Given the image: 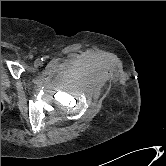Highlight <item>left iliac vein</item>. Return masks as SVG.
<instances>
[{"instance_id": "left-iliac-vein-1", "label": "left iliac vein", "mask_w": 166, "mask_h": 166, "mask_svg": "<svg viewBox=\"0 0 166 166\" xmlns=\"http://www.w3.org/2000/svg\"><path fill=\"white\" fill-rule=\"evenodd\" d=\"M41 64H42V61H41L40 59H37V60L34 62V66H35V67H39V66H41Z\"/></svg>"}]
</instances>
